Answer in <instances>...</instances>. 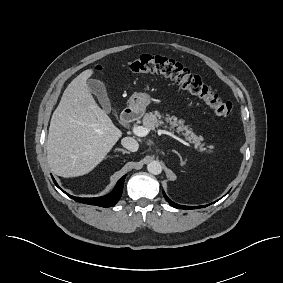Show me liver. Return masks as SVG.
I'll use <instances>...</instances> for the list:
<instances>
[{"label":"liver","instance_id":"liver-1","mask_svg":"<svg viewBox=\"0 0 283 283\" xmlns=\"http://www.w3.org/2000/svg\"><path fill=\"white\" fill-rule=\"evenodd\" d=\"M93 73L87 69L71 81L51 118L47 160L64 178L89 173L122 136L90 93L87 80Z\"/></svg>","mask_w":283,"mask_h":283}]
</instances>
